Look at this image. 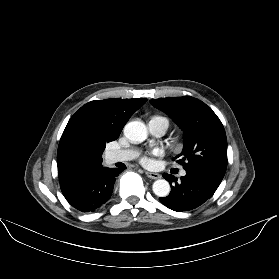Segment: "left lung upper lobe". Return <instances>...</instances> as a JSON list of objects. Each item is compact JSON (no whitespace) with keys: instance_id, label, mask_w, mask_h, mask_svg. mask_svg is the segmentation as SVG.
Masks as SVG:
<instances>
[{"instance_id":"1","label":"left lung upper lobe","mask_w":279,"mask_h":279,"mask_svg":"<svg viewBox=\"0 0 279 279\" xmlns=\"http://www.w3.org/2000/svg\"><path fill=\"white\" fill-rule=\"evenodd\" d=\"M150 103L183 131V150L173 160L185 170H199L222 181L227 168V139L213 110L190 96L152 99Z\"/></svg>"}]
</instances>
